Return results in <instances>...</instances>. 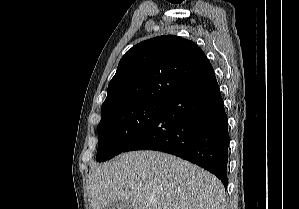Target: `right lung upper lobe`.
Segmentation results:
<instances>
[{"mask_svg":"<svg viewBox=\"0 0 299 209\" xmlns=\"http://www.w3.org/2000/svg\"><path fill=\"white\" fill-rule=\"evenodd\" d=\"M211 70L205 53L188 39L164 35L143 41L121 58L101 110L143 101L165 102L187 80Z\"/></svg>","mask_w":299,"mask_h":209,"instance_id":"cb5924a9","label":"right lung upper lobe"}]
</instances>
